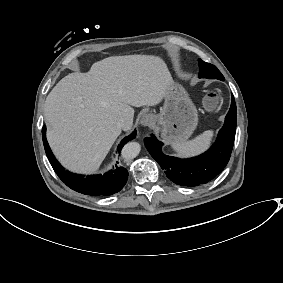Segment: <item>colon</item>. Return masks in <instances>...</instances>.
I'll return each instance as SVG.
<instances>
[{"instance_id": "1", "label": "colon", "mask_w": 283, "mask_h": 283, "mask_svg": "<svg viewBox=\"0 0 283 283\" xmlns=\"http://www.w3.org/2000/svg\"><path fill=\"white\" fill-rule=\"evenodd\" d=\"M219 95L216 92L210 91L205 94L203 103L206 109L213 110L219 104Z\"/></svg>"}]
</instances>
